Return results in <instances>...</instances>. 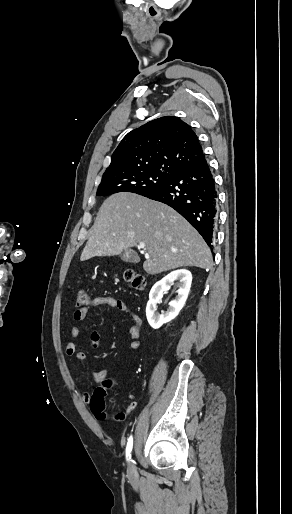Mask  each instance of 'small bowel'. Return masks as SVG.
Instances as JSON below:
<instances>
[{
  "label": "small bowel",
  "instance_id": "obj_1",
  "mask_svg": "<svg viewBox=\"0 0 292 514\" xmlns=\"http://www.w3.org/2000/svg\"><path fill=\"white\" fill-rule=\"evenodd\" d=\"M107 306L112 309H115L122 313H127L132 316L133 323L130 326V345L132 348L136 349L140 347V329H141V319L138 315H136L129 305L119 299L112 296H95L93 297L88 305L84 308L77 309L73 313V319L75 322H83L89 313L90 309L97 308V307H103ZM70 335L72 337V340L68 341L66 344V353L70 356L74 357L75 362L81 363L85 360V354L83 352L78 351V344L76 342V339L80 335V329L78 326H72L70 330ZM91 345L94 348L99 347L100 345V334L97 331H93L90 335ZM106 371H100V372H93L91 374V377L95 381H99L103 379L106 376ZM72 381L76 385H80L82 383L80 377L75 374L72 378ZM81 399L83 402H88L90 399V395L88 392H82L81 393ZM126 396H129V393H126ZM129 400L131 401V404L133 406H136L138 404L137 397L135 395H131L129 397Z\"/></svg>",
  "mask_w": 292,
  "mask_h": 514
}]
</instances>
